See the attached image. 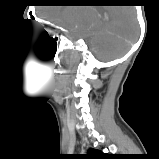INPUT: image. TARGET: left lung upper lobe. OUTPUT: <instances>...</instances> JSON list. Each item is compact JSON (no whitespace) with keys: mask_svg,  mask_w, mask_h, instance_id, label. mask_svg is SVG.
Returning a JSON list of instances; mask_svg holds the SVG:
<instances>
[{"mask_svg":"<svg viewBox=\"0 0 159 159\" xmlns=\"http://www.w3.org/2000/svg\"><path fill=\"white\" fill-rule=\"evenodd\" d=\"M114 156L110 154H104L95 149H89L88 153L83 157V159H113Z\"/></svg>","mask_w":159,"mask_h":159,"instance_id":"1","label":"left lung upper lobe"}]
</instances>
